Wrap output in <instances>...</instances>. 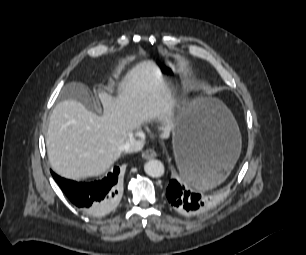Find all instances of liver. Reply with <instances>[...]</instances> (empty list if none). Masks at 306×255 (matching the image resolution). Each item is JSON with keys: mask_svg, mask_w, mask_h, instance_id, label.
<instances>
[{"mask_svg": "<svg viewBox=\"0 0 306 255\" xmlns=\"http://www.w3.org/2000/svg\"><path fill=\"white\" fill-rule=\"evenodd\" d=\"M99 116L75 99L56 105L49 118L46 147L52 169L79 179L103 174L119 158L121 146L134 131L158 120L161 137L174 128V102L152 61L130 70L116 97L99 91Z\"/></svg>", "mask_w": 306, "mask_h": 255, "instance_id": "liver-1", "label": "liver"}]
</instances>
